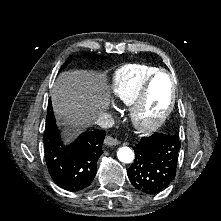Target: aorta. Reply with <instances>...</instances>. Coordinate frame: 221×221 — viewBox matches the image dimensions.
I'll return each mask as SVG.
<instances>
[{"instance_id":"aorta-1","label":"aorta","mask_w":221,"mask_h":221,"mask_svg":"<svg viewBox=\"0 0 221 221\" xmlns=\"http://www.w3.org/2000/svg\"><path fill=\"white\" fill-rule=\"evenodd\" d=\"M117 157L123 163H131L134 160V152L129 147H121L117 151Z\"/></svg>"}]
</instances>
